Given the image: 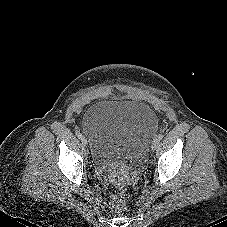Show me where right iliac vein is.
Wrapping results in <instances>:
<instances>
[{
    "instance_id": "63e3f726",
    "label": "right iliac vein",
    "mask_w": 227,
    "mask_h": 227,
    "mask_svg": "<svg viewBox=\"0 0 227 227\" xmlns=\"http://www.w3.org/2000/svg\"><path fill=\"white\" fill-rule=\"evenodd\" d=\"M81 142L84 146H87L88 144L87 139L85 137H82Z\"/></svg>"
}]
</instances>
